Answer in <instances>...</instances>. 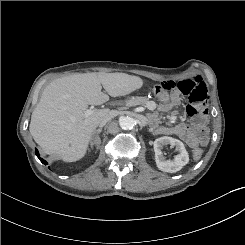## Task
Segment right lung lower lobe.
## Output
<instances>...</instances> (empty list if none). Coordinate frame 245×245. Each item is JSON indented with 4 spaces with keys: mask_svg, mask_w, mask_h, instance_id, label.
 Returning <instances> with one entry per match:
<instances>
[{
    "mask_svg": "<svg viewBox=\"0 0 245 245\" xmlns=\"http://www.w3.org/2000/svg\"><path fill=\"white\" fill-rule=\"evenodd\" d=\"M35 152H36V155L38 156V158L40 159V161H41L43 164H45V165H46V164H47V162H46L45 160H43L42 158H40V157H39V152H38V150H37V149L35 150Z\"/></svg>",
    "mask_w": 245,
    "mask_h": 245,
    "instance_id": "obj_1",
    "label": "right lung lower lobe"
}]
</instances>
